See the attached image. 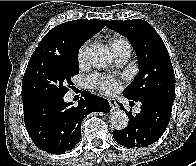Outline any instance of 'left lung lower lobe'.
I'll list each match as a JSON object with an SVG mask.
<instances>
[{"instance_id":"obj_1","label":"left lung lower lobe","mask_w":196,"mask_h":166,"mask_svg":"<svg viewBox=\"0 0 196 166\" xmlns=\"http://www.w3.org/2000/svg\"><path fill=\"white\" fill-rule=\"evenodd\" d=\"M139 101L142 103L140 113L132 115L131 112H126L128 126L113 131L115 141L124 147H145L153 144L162 136L170 121L172 101L155 96L144 97ZM119 105L124 109L123 105Z\"/></svg>"}]
</instances>
